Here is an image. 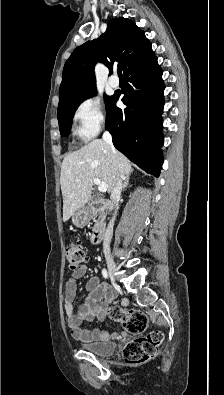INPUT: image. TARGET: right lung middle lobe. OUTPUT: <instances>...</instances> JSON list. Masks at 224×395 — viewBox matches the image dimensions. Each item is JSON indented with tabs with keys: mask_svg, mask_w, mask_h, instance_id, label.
<instances>
[{
	"mask_svg": "<svg viewBox=\"0 0 224 395\" xmlns=\"http://www.w3.org/2000/svg\"><path fill=\"white\" fill-rule=\"evenodd\" d=\"M96 94V88L91 89L85 93H82L73 99H71L66 105L58 108V121L59 129L62 136H68L71 130L72 119L74 113L81 102L90 98ZM112 96H105L106 107L109 105Z\"/></svg>",
	"mask_w": 224,
	"mask_h": 395,
	"instance_id": "obj_1",
	"label": "right lung middle lobe"
}]
</instances>
